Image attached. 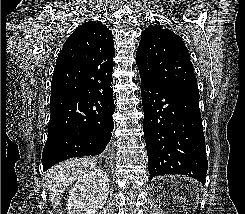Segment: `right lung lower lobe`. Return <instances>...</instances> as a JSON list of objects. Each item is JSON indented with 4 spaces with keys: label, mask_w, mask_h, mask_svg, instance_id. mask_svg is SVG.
I'll return each mask as SVG.
<instances>
[{
    "label": "right lung lower lobe",
    "mask_w": 245,
    "mask_h": 214,
    "mask_svg": "<svg viewBox=\"0 0 245 214\" xmlns=\"http://www.w3.org/2000/svg\"><path fill=\"white\" fill-rule=\"evenodd\" d=\"M113 66L98 68L89 85L76 94L52 93L43 171L72 157L101 154L114 129Z\"/></svg>",
    "instance_id": "98d812e1"
}]
</instances>
